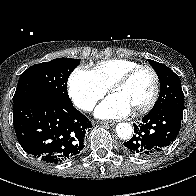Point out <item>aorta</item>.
I'll return each mask as SVG.
<instances>
[{
	"mask_svg": "<svg viewBox=\"0 0 196 196\" xmlns=\"http://www.w3.org/2000/svg\"><path fill=\"white\" fill-rule=\"evenodd\" d=\"M116 133L123 140L129 139L132 135V126L129 123H119L116 126Z\"/></svg>",
	"mask_w": 196,
	"mask_h": 196,
	"instance_id": "762f6f07",
	"label": "aorta"
}]
</instances>
